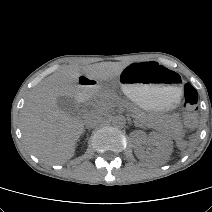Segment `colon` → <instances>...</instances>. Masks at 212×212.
Instances as JSON below:
<instances>
[{"label":"colon","instance_id":"obj_1","mask_svg":"<svg viewBox=\"0 0 212 212\" xmlns=\"http://www.w3.org/2000/svg\"><path fill=\"white\" fill-rule=\"evenodd\" d=\"M181 104L185 110L184 120L186 125L194 126L198 119V93L192 85H184Z\"/></svg>","mask_w":212,"mask_h":212}]
</instances>
